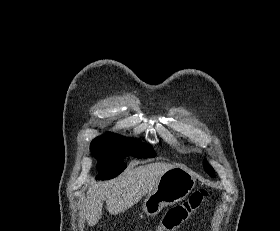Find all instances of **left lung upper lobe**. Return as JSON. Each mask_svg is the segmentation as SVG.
<instances>
[{
  "label": "left lung upper lobe",
  "instance_id": "obj_1",
  "mask_svg": "<svg viewBox=\"0 0 280 231\" xmlns=\"http://www.w3.org/2000/svg\"><path fill=\"white\" fill-rule=\"evenodd\" d=\"M204 168L210 176L214 175L213 168L207 162H204Z\"/></svg>",
  "mask_w": 280,
  "mask_h": 231
}]
</instances>
